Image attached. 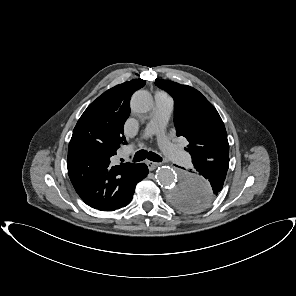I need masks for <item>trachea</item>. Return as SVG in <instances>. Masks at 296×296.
I'll return each instance as SVG.
<instances>
[{"label":"trachea","instance_id":"trachea-1","mask_svg":"<svg viewBox=\"0 0 296 296\" xmlns=\"http://www.w3.org/2000/svg\"><path fill=\"white\" fill-rule=\"evenodd\" d=\"M146 158L148 160H151L154 162H161L162 161V158L158 154H156L152 151L147 152L146 150H139L138 152L135 153V155L133 157V162H140Z\"/></svg>","mask_w":296,"mask_h":296}]
</instances>
